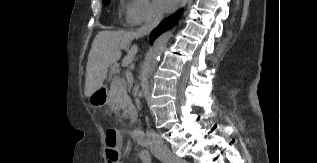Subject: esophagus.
Returning <instances> with one entry per match:
<instances>
[{"instance_id":"1","label":"esophagus","mask_w":317,"mask_h":163,"mask_svg":"<svg viewBox=\"0 0 317 163\" xmlns=\"http://www.w3.org/2000/svg\"><path fill=\"white\" fill-rule=\"evenodd\" d=\"M190 0H183L182 7H185Z\"/></svg>"}]
</instances>
